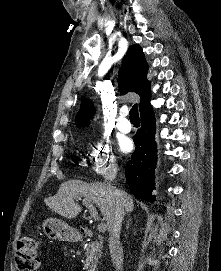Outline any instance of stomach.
<instances>
[{
  "label": "stomach",
  "mask_w": 221,
  "mask_h": 271,
  "mask_svg": "<svg viewBox=\"0 0 221 271\" xmlns=\"http://www.w3.org/2000/svg\"><path fill=\"white\" fill-rule=\"evenodd\" d=\"M43 231L49 239H60V241H67V239H79L78 230L70 227L66 221L50 217L45 219L42 223Z\"/></svg>",
  "instance_id": "0dacf381"
}]
</instances>
